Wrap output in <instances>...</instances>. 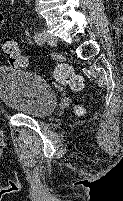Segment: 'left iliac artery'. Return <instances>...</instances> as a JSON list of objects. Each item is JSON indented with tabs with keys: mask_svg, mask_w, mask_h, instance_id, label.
<instances>
[{
	"mask_svg": "<svg viewBox=\"0 0 123 201\" xmlns=\"http://www.w3.org/2000/svg\"><path fill=\"white\" fill-rule=\"evenodd\" d=\"M34 40H35V42H37L38 44L43 43V38H42V36H41L40 33H35V35H34Z\"/></svg>",
	"mask_w": 123,
	"mask_h": 201,
	"instance_id": "44dca946",
	"label": "left iliac artery"
}]
</instances>
